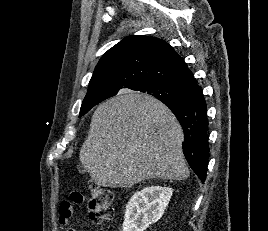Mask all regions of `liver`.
I'll list each match as a JSON object with an SVG mask.
<instances>
[{
	"label": "liver",
	"mask_w": 268,
	"mask_h": 231,
	"mask_svg": "<svg viewBox=\"0 0 268 231\" xmlns=\"http://www.w3.org/2000/svg\"><path fill=\"white\" fill-rule=\"evenodd\" d=\"M184 135L171 110L157 99L124 90L95 110L79 158L102 187H131L148 179L184 180Z\"/></svg>",
	"instance_id": "6515ba94"
}]
</instances>
